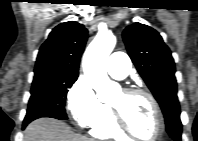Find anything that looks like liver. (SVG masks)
I'll return each mask as SVG.
<instances>
[{
  "label": "liver",
  "mask_w": 198,
  "mask_h": 141,
  "mask_svg": "<svg viewBox=\"0 0 198 141\" xmlns=\"http://www.w3.org/2000/svg\"><path fill=\"white\" fill-rule=\"evenodd\" d=\"M24 141H92L72 131L66 123L54 118H40L30 123Z\"/></svg>",
  "instance_id": "1"
}]
</instances>
